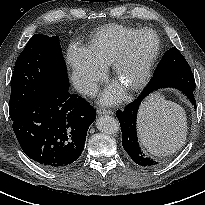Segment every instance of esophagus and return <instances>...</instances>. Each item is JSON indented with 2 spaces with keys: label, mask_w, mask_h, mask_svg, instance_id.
<instances>
[{
  "label": "esophagus",
  "mask_w": 205,
  "mask_h": 205,
  "mask_svg": "<svg viewBox=\"0 0 205 205\" xmlns=\"http://www.w3.org/2000/svg\"><path fill=\"white\" fill-rule=\"evenodd\" d=\"M97 114L98 115H107V114L113 115L114 112L112 110H106V109L99 108L97 109Z\"/></svg>",
  "instance_id": "34e87169"
}]
</instances>
